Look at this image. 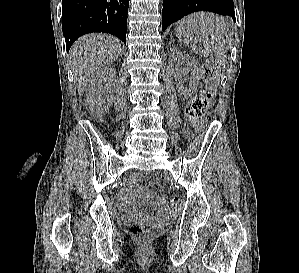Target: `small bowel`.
<instances>
[{
  "label": "small bowel",
  "mask_w": 299,
  "mask_h": 273,
  "mask_svg": "<svg viewBox=\"0 0 299 273\" xmlns=\"http://www.w3.org/2000/svg\"><path fill=\"white\" fill-rule=\"evenodd\" d=\"M139 197L154 208L155 217L157 219H166L168 217L167 203H166L165 196L158 197L150 193H141ZM135 199H136L135 196L128 195L122 201L121 210L128 217L144 216L143 212L138 211L132 206V203Z\"/></svg>",
  "instance_id": "c3829d8e"
}]
</instances>
